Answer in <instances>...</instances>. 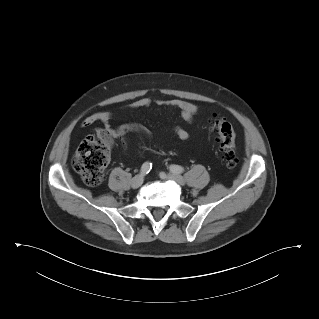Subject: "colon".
<instances>
[{"label": "colon", "mask_w": 319, "mask_h": 319, "mask_svg": "<svg viewBox=\"0 0 319 319\" xmlns=\"http://www.w3.org/2000/svg\"><path fill=\"white\" fill-rule=\"evenodd\" d=\"M209 129L216 135L220 153L229 168L237 164L235 131L225 118L215 115L210 120ZM110 156V139L101 136H88L79 145L73 167L90 186H98L105 179V171Z\"/></svg>", "instance_id": "obj_1"}]
</instances>
